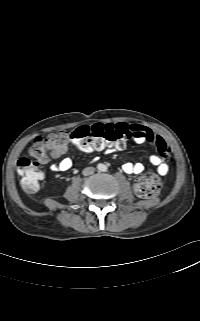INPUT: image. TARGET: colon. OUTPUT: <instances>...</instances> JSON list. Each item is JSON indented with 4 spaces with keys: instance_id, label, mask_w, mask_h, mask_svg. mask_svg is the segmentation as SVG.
<instances>
[{
    "instance_id": "colon-1",
    "label": "colon",
    "mask_w": 200,
    "mask_h": 321,
    "mask_svg": "<svg viewBox=\"0 0 200 321\" xmlns=\"http://www.w3.org/2000/svg\"><path fill=\"white\" fill-rule=\"evenodd\" d=\"M131 138V132L124 126L83 125L70 132H57L45 137H37L29 154L30 158L22 157L17 161V172L21 177V185L28 193L39 188L43 178L41 164L59 153L68 141L73 142L84 151L100 150L108 145L123 149ZM135 193L141 198L156 197L162 190L161 180L154 174H146L135 180Z\"/></svg>"
}]
</instances>
